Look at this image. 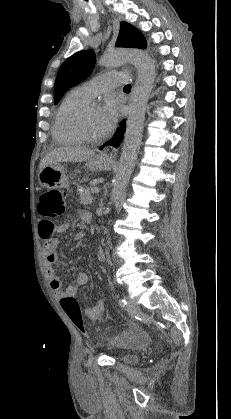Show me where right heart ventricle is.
<instances>
[{
    "mask_svg": "<svg viewBox=\"0 0 231 419\" xmlns=\"http://www.w3.org/2000/svg\"><path fill=\"white\" fill-rule=\"evenodd\" d=\"M90 101L81 91L76 88L70 91L59 105L52 127V136L55 142L65 145L81 143V140L71 129L70 123L73 116Z\"/></svg>",
    "mask_w": 231,
    "mask_h": 419,
    "instance_id": "right-heart-ventricle-1",
    "label": "right heart ventricle"
}]
</instances>
